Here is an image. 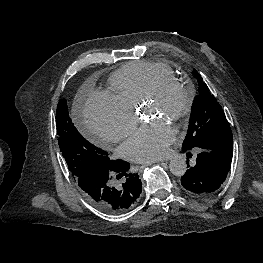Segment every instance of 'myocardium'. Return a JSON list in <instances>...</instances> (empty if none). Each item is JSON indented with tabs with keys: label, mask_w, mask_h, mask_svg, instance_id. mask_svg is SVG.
I'll return each mask as SVG.
<instances>
[{
	"label": "myocardium",
	"mask_w": 263,
	"mask_h": 263,
	"mask_svg": "<svg viewBox=\"0 0 263 263\" xmlns=\"http://www.w3.org/2000/svg\"><path fill=\"white\" fill-rule=\"evenodd\" d=\"M171 90H176L183 96L181 107L172 116V121L179 122L190 114L195 101V92L190 85L176 77L167 76L160 78L146 93L142 102L159 101Z\"/></svg>",
	"instance_id": "myocardium-1"
}]
</instances>
